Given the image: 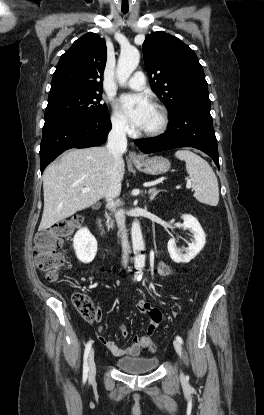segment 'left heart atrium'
Segmentation results:
<instances>
[{
    "instance_id": "39dd6f15",
    "label": "left heart atrium",
    "mask_w": 264,
    "mask_h": 415,
    "mask_svg": "<svg viewBox=\"0 0 264 415\" xmlns=\"http://www.w3.org/2000/svg\"><path fill=\"white\" fill-rule=\"evenodd\" d=\"M119 107L132 125L139 129L143 128L153 110L150 100L142 94L123 95L119 100Z\"/></svg>"
}]
</instances>
